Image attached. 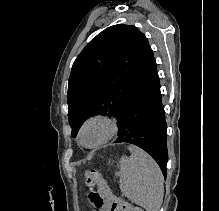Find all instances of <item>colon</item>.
Masks as SVG:
<instances>
[{
  "label": "colon",
  "mask_w": 219,
  "mask_h": 211,
  "mask_svg": "<svg viewBox=\"0 0 219 211\" xmlns=\"http://www.w3.org/2000/svg\"><path fill=\"white\" fill-rule=\"evenodd\" d=\"M85 182L90 191H92L94 187L98 188V196L102 201L109 204L111 211H143L141 208L133 206L123 198L114 195L99 170H87L85 172Z\"/></svg>",
  "instance_id": "1"
}]
</instances>
